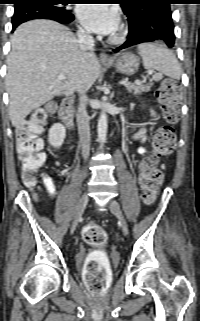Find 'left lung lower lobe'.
Instances as JSON below:
<instances>
[{"label": "left lung lower lobe", "instance_id": "0a47b994", "mask_svg": "<svg viewBox=\"0 0 200 321\" xmlns=\"http://www.w3.org/2000/svg\"><path fill=\"white\" fill-rule=\"evenodd\" d=\"M125 15L129 24L127 41L114 49V52L153 41L166 44L170 48L174 46L175 35L171 9L153 3Z\"/></svg>", "mask_w": 200, "mask_h": 321}]
</instances>
